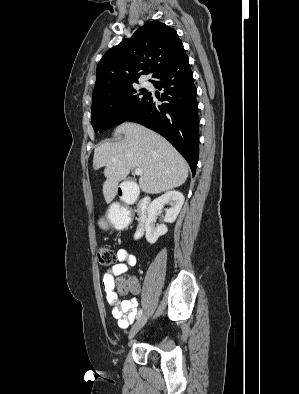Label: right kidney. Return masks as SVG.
<instances>
[{"label":"right kidney","instance_id":"right-kidney-1","mask_svg":"<svg viewBox=\"0 0 299 394\" xmlns=\"http://www.w3.org/2000/svg\"><path fill=\"white\" fill-rule=\"evenodd\" d=\"M184 203V196L179 191H168L157 199H154L147 208L148 217L145 223L146 240L150 244H154L158 238L167 233L168 229L165 224L156 225L155 219L157 211L161 210L165 204H169L171 208L166 210L164 221L166 223H173Z\"/></svg>","mask_w":299,"mask_h":394}]
</instances>
